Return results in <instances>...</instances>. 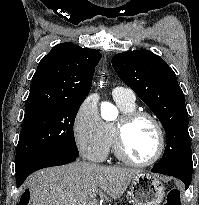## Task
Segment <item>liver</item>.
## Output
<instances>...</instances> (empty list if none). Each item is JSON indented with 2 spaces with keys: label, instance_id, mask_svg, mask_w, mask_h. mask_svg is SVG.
Listing matches in <instances>:
<instances>
[{
  "label": "liver",
  "instance_id": "liver-1",
  "mask_svg": "<svg viewBox=\"0 0 199 205\" xmlns=\"http://www.w3.org/2000/svg\"><path fill=\"white\" fill-rule=\"evenodd\" d=\"M141 171L133 168L99 166L86 162L46 168L27 180L29 205H98L101 198H120Z\"/></svg>",
  "mask_w": 199,
  "mask_h": 205
}]
</instances>
